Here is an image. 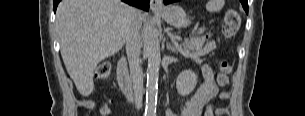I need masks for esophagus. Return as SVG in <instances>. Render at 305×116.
<instances>
[{"label": "esophagus", "mask_w": 305, "mask_h": 116, "mask_svg": "<svg viewBox=\"0 0 305 116\" xmlns=\"http://www.w3.org/2000/svg\"><path fill=\"white\" fill-rule=\"evenodd\" d=\"M163 8L161 0H150L151 10H161Z\"/></svg>", "instance_id": "34e87169"}]
</instances>
